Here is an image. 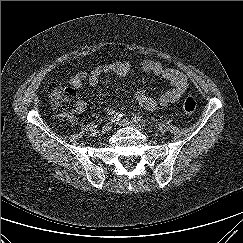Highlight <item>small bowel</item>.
<instances>
[{"label":"small bowel","mask_w":243,"mask_h":243,"mask_svg":"<svg viewBox=\"0 0 243 243\" xmlns=\"http://www.w3.org/2000/svg\"><path fill=\"white\" fill-rule=\"evenodd\" d=\"M140 73L148 76H154L168 81L169 87L156 96H151L143 91L136 92L133 96L137 106L145 111H154L157 108H164L167 105L178 101L188 88L186 76L178 70L164 68L159 62L145 60L139 66ZM131 72V67L126 62H113L102 64L89 72H79L70 81L69 85L73 88H79L84 82L90 85H97L100 78L106 74H115L124 82ZM80 109H84V103L81 102ZM109 114H114L115 110L109 109Z\"/></svg>","instance_id":"c3829d8e"}]
</instances>
